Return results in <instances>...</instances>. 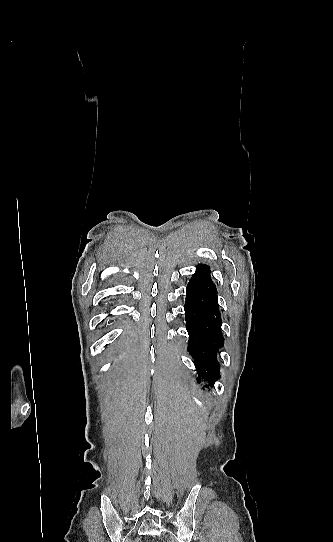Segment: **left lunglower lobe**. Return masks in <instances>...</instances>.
<instances>
[{"label": "left lung lower lobe", "instance_id": "1", "mask_svg": "<svg viewBox=\"0 0 333 542\" xmlns=\"http://www.w3.org/2000/svg\"><path fill=\"white\" fill-rule=\"evenodd\" d=\"M186 329L189 335L187 351L192 355L200 377L211 387L220 378L217 362L218 348L223 345L220 331L222 322L217 305L216 285L210 277V268L200 264L190 279L184 306Z\"/></svg>", "mask_w": 333, "mask_h": 542}]
</instances>
